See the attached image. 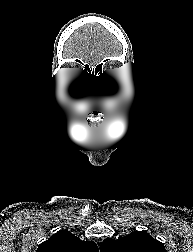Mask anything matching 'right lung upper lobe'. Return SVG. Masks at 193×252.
<instances>
[{
  "label": "right lung upper lobe",
  "mask_w": 193,
  "mask_h": 252,
  "mask_svg": "<svg viewBox=\"0 0 193 252\" xmlns=\"http://www.w3.org/2000/svg\"><path fill=\"white\" fill-rule=\"evenodd\" d=\"M36 252H99L93 241H81L68 230H61L39 245Z\"/></svg>",
  "instance_id": "cb5924a9"
}]
</instances>
